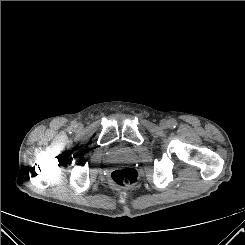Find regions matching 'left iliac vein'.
Wrapping results in <instances>:
<instances>
[{"mask_svg": "<svg viewBox=\"0 0 245 245\" xmlns=\"http://www.w3.org/2000/svg\"><path fill=\"white\" fill-rule=\"evenodd\" d=\"M160 126H161L162 128H167V127H168V122H167V120H165V119L161 120Z\"/></svg>", "mask_w": 245, "mask_h": 245, "instance_id": "obj_1", "label": "left iliac vein"}]
</instances>
